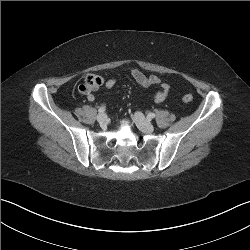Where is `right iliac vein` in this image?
Here are the masks:
<instances>
[{"label": "right iliac vein", "instance_id": "obj_1", "mask_svg": "<svg viewBox=\"0 0 250 250\" xmlns=\"http://www.w3.org/2000/svg\"><path fill=\"white\" fill-rule=\"evenodd\" d=\"M106 119H107V116L104 113L98 114V116H97V121L100 124H104L106 122Z\"/></svg>", "mask_w": 250, "mask_h": 250}]
</instances>
